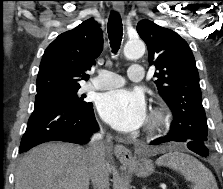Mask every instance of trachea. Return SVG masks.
<instances>
[{
	"label": "trachea",
	"instance_id": "1",
	"mask_svg": "<svg viewBox=\"0 0 223 189\" xmlns=\"http://www.w3.org/2000/svg\"><path fill=\"white\" fill-rule=\"evenodd\" d=\"M107 29L112 51L116 53L120 48L123 36L122 20L117 12H111Z\"/></svg>",
	"mask_w": 223,
	"mask_h": 189
}]
</instances>
